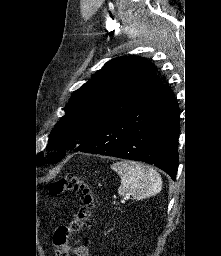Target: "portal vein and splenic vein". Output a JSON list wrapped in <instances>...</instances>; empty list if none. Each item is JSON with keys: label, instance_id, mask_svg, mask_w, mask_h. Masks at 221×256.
<instances>
[{"label": "portal vein and splenic vein", "instance_id": "portal-vein-and-splenic-vein-1", "mask_svg": "<svg viewBox=\"0 0 221 256\" xmlns=\"http://www.w3.org/2000/svg\"><path fill=\"white\" fill-rule=\"evenodd\" d=\"M128 199H129V197L126 196V197H124V198L122 199V202H123L124 200H128Z\"/></svg>", "mask_w": 221, "mask_h": 256}]
</instances>
